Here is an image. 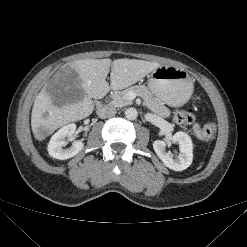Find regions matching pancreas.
<instances>
[{
    "instance_id": "pancreas-1",
    "label": "pancreas",
    "mask_w": 247,
    "mask_h": 247,
    "mask_svg": "<svg viewBox=\"0 0 247 247\" xmlns=\"http://www.w3.org/2000/svg\"><path fill=\"white\" fill-rule=\"evenodd\" d=\"M129 92H133L135 95L140 96L145 101L148 108L156 115L162 118L170 116L169 109L165 107L160 100L154 97L150 90L144 85H135L123 91L114 92L111 95V104L115 107L131 105L133 101L128 97Z\"/></svg>"
}]
</instances>
